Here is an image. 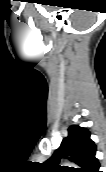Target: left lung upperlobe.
<instances>
[{"mask_svg": "<svg viewBox=\"0 0 106 172\" xmlns=\"http://www.w3.org/2000/svg\"><path fill=\"white\" fill-rule=\"evenodd\" d=\"M96 145L90 139L88 129L72 125L68 129V137L63 139L59 149L55 151L44 166L50 172H99V161L95 157ZM71 156L81 168H68L58 165L61 156Z\"/></svg>", "mask_w": 106, "mask_h": 172, "instance_id": "5c2ea615", "label": "left lung upper lobe"}]
</instances>
